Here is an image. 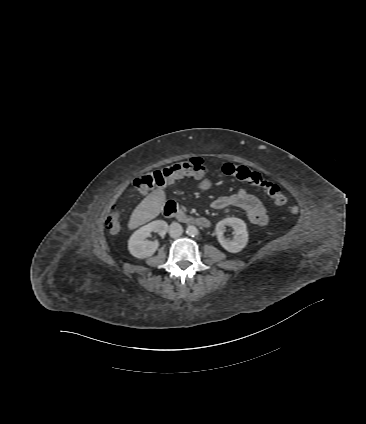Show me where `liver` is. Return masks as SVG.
Instances as JSON below:
<instances>
[{
  "label": "liver",
  "mask_w": 366,
  "mask_h": 424,
  "mask_svg": "<svg viewBox=\"0 0 366 424\" xmlns=\"http://www.w3.org/2000/svg\"><path fill=\"white\" fill-rule=\"evenodd\" d=\"M166 196L163 190H154L148 194L134 209L128 228L135 229L157 217L163 210Z\"/></svg>",
  "instance_id": "obj_1"
}]
</instances>
